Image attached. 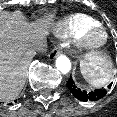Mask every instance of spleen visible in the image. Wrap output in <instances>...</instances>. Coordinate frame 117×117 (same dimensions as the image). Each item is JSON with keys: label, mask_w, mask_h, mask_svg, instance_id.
<instances>
[{"label": "spleen", "mask_w": 117, "mask_h": 117, "mask_svg": "<svg viewBox=\"0 0 117 117\" xmlns=\"http://www.w3.org/2000/svg\"><path fill=\"white\" fill-rule=\"evenodd\" d=\"M112 62L107 56L90 52L80 60V69L84 79L95 87L106 85L112 75Z\"/></svg>", "instance_id": "1"}]
</instances>
